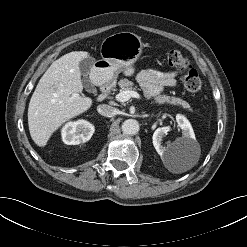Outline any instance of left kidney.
Masks as SVG:
<instances>
[{"label":"left kidney","mask_w":247,"mask_h":247,"mask_svg":"<svg viewBox=\"0 0 247 247\" xmlns=\"http://www.w3.org/2000/svg\"><path fill=\"white\" fill-rule=\"evenodd\" d=\"M176 120L178 126L182 130V137L177 138L172 144L167 147L161 144L162 138L170 130V126L161 127L155 130L153 134V145L157 153L163 158H169L171 155L179 153L188 154L197 146L195 134L190 122L182 115H177Z\"/></svg>","instance_id":"1"}]
</instances>
